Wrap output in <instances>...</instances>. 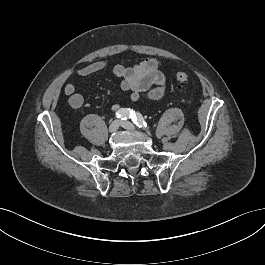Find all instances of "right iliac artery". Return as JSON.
Instances as JSON below:
<instances>
[{
  "label": "right iliac artery",
  "mask_w": 265,
  "mask_h": 265,
  "mask_svg": "<svg viewBox=\"0 0 265 265\" xmlns=\"http://www.w3.org/2000/svg\"><path fill=\"white\" fill-rule=\"evenodd\" d=\"M134 111L130 108H122L116 112V117L121 120H126L128 118H131Z\"/></svg>",
  "instance_id": "1"
}]
</instances>
